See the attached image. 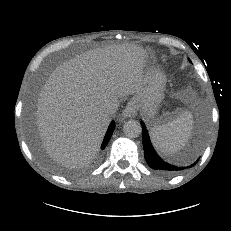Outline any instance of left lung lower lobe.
Listing matches in <instances>:
<instances>
[{
  "instance_id": "left-lung-lower-lobe-1",
  "label": "left lung lower lobe",
  "mask_w": 231,
  "mask_h": 231,
  "mask_svg": "<svg viewBox=\"0 0 231 231\" xmlns=\"http://www.w3.org/2000/svg\"><path fill=\"white\" fill-rule=\"evenodd\" d=\"M141 125L143 126V147H144V156L146 159L147 164L155 170H158L162 173L165 174H176L186 168L193 167L198 161H196L194 164L183 167V166H178L174 164L167 163L163 161L154 151L149 136L148 132L146 130V127L143 122H141Z\"/></svg>"
}]
</instances>
